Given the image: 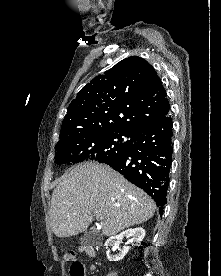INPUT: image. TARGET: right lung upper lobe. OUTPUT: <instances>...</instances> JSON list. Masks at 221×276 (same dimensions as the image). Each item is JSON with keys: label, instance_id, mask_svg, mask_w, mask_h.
<instances>
[{"label": "right lung upper lobe", "instance_id": "cb5924a9", "mask_svg": "<svg viewBox=\"0 0 221 276\" xmlns=\"http://www.w3.org/2000/svg\"><path fill=\"white\" fill-rule=\"evenodd\" d=\"M169 110L166 91L155 69L140 57H128L78 92L64 117L59 142L99 132L132 135Z\"/></svg>", "mask_w": 221, "mask_h": 276}]
</instances>
